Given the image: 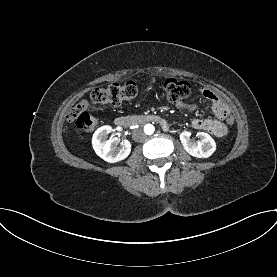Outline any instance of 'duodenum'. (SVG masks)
<instances>
[{
  "mask_svg": "<svg viewBox=\"0 0 277 277\" xmlns=\"http://www.w3.org/2000/svg\"><path fill=\"white\" fill-rule=\"evenodd\" d=\"M150 122L160 123L164 130H168L169 128L168 125L159 116L153 114L139 115L133 117L120 116L115 118L114 120L115 125L121 128L134 127Z\"/></svg>",
  "mask_w": 277,
  "mask_h": 277,
  "instance_id": "410a0bca",
  "label": "duodenum"
}]
</instances>
